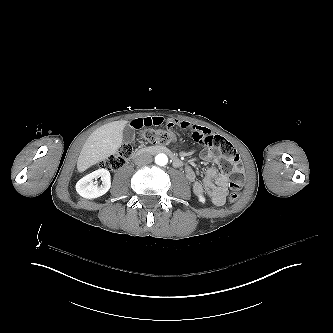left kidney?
Instances as JSON below:
<instances>
[{
  "instance_id": "5707ae66",
  "label": "left kidney",
  "mask_w": 333,
  "mask_h": 333,
  "mask_svg": "<svg viewBox=\"0 0 333 333\" xmlns=\"http://www.w3.org/2000/svg\"><path fill=\"white\" fill-rule=\"evenodd\" d=\"M199 201H200L201 203H205V198H204L203 196H199Z\"/></svg>"
}]
</instances>
